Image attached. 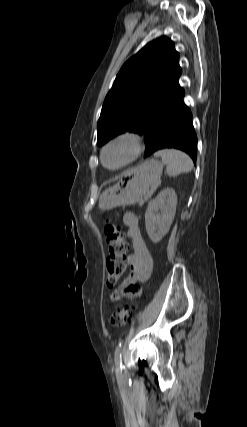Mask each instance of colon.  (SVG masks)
I'll use <instances>...</instances> for the list:
<instances>
[{
    "label": "colon",
    "mask_w": 247,
    "mask_h": 427,
    "mask_svg": "<svg viewBox=\"0 0 247 427\" xmlns=\"http://www.w3.org/2000/svg\"><path fill=\"white\" fill-rule=\"evenodd\" d=\"M104 234L109 244V256L106 261L107 285L117 284L127 266V244L120 227L110 218L105 220ZM132 312L128 307H119L112 312L110 322L113 326H125L131 319Z\"/></svg>",
    "instance_id": "1"
}]
</instances>
